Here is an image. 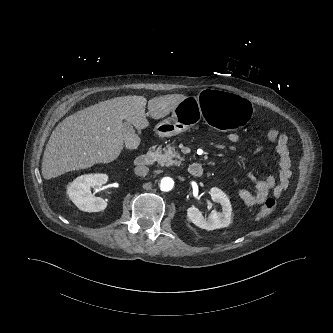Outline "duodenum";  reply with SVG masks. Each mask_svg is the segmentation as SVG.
I'll return each instance as SVG.
<instances>
[{
  "mask_svg": "<svg viewBox=\"0 0 333 333\" xmlns=\"http://www.w3.org/2000/svg\"><path fill=\"white\" fill-rule=\"evenodd\" d=\"M154 161V154L141 155L136 160V168L139 171H143L148 166H150ZM188 171L191 176L199 178L203 175V167L200 163H191L188 167Z\"/></svg>",
  "mask_w": 333,
  "mask_h": 333,
  "instance_id": "410a0bca",
  "label": "duodenum"
}]
</instances>
